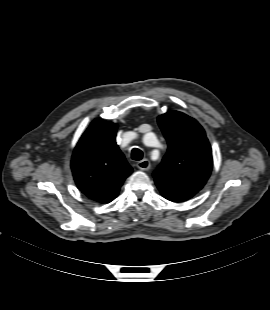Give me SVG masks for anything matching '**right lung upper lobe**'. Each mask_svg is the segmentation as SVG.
Segmentation results:
<instances>
[{"mask_svg": "<svg viewBox=\"0 0 270 310\" xmlns=\"http://www.w3.org/2000/svg\"><path fill=\"white\" fill-rule=\"evenodd\" d=\"M117 125L95 119L77 143L71 168L75 183L90 199L108 203L132 173L115 142Z\"/></svg>", "mask_w": 270, "mask_h": 310, "instance_id": "right-lung-upper-lobe-1", "label": "right lung upper lobe"}]
</instances>
